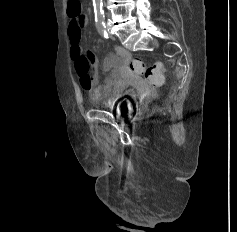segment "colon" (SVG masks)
I'll return each instance as SVG.
<instances>
[{
  "label": "colon",
  "instance_id": "1",
  "mask_svg": "<svg viewBox=\"0 0 237 232\" xmlns=\"http://www.w3.org/2000/svg\"><path fill=\"white\" fill-rule=\"evenodd\" d=\"M68 14L73 19L82 16V6L79 0L68 1ZM129 68L134 74L144 77L152 85L158 86L163 83L164 68L160 62L146 66L141 59L134 58L130 61Z\"/></svg>",
  "mask_w": 237,
  "mask_h": 232
}]
</instances>
